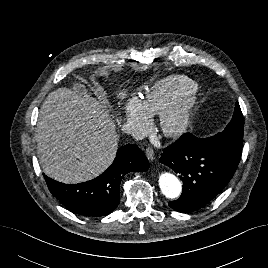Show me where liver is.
<instances>
[{
  "label": "liver",
  "mask_w": 268,
  "mask_h": 268,
  "mask_svg": "<svg viewBox=\"0 0 268 268\" xmlns=\"http://www.w3.org/2000/svg\"><path fill=\"white\" fill-rule=\"evenodd\" d=\"M82 86L59 88L45 99L37 122V153L44 173L59 182L91 180L113 162L116 125L100 102ZM124 92L119 93L120 97Z\"/></svg>",
  "instance_id": "liver-1"
}]
</instances>
